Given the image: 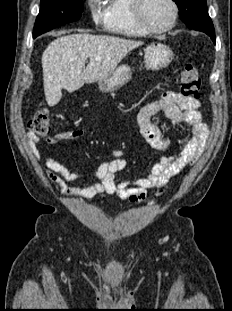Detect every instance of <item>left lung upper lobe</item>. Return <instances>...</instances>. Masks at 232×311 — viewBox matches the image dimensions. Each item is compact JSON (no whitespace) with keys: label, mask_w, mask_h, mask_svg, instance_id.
<instances>
[{"label":"left lung upper lobe","mask_w":232,"mask_h":311,"mask_svg":"<svg viewBox=\"0 0 232 311\" xmlns=\"http://www.w3.org/2000/svg\"><path fill=\"white\" fill-rule=\"evenodd\" d=\"M179 10L181 20L189 27L192 28L200 21L207 18L208 9L206 0H173Z\"/></svg>","instance_id":"1"}]
</instances>
